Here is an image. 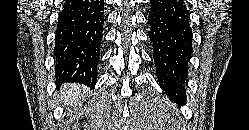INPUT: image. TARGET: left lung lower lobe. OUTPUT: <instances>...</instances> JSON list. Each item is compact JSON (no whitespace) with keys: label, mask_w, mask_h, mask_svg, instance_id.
Returning <instances> with one entry per match:
<instances>
[{"label":"left lung lower lobe","mask_w":249,"mask_h":130,"mask_svg":"<svg viewBox=\"0 0 249 130\" xmlns=\"http://www.w3.org/2000/svg\"><path fill=\"white\" fill-rule=\"evenodd\" d=\"M150 3L148 22L158 81L170 99L183 102L193 38L187 4L183 0Z\"/></svg>","instance_id":"1"}]
</instances>
